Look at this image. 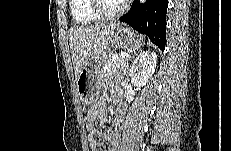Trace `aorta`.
I'll return each mask as SVG.
<instances>
[{
	"label": "aorta",
	"instance_id": "aorta-1",
	"mask_svg": "<svg viewBox=\"0 0 231 151\" xmlns=\"http://www.w3.org/2000/svg\"><path fill=\"white\" fill-rule=\"evenodd\" d=\"M140 2H141V3H144V2H145V0H140Z\"/></svg>",
	"mask_w": 231,
	"mask_h": 151
}]
</instances>
